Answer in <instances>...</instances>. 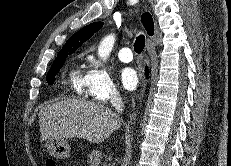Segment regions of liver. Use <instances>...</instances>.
<instances>
[{
	"instance_id": "liver-1",
	"label": "liver",
	"mask_w": 231,
	"mask_h": 166,
	"mask_svg": "<svg viewBox=\"0 0 231 166\" xmlns=\"http://www.w3.org/2000/svg\"><path fill=\"white\" fill-rule=\"evenodd\" d=\"M118 114L90 101L67 99L51 103L39 112L41 139L78 137L101 143L121 126Z\"/></svg>"
}]
</instances>
